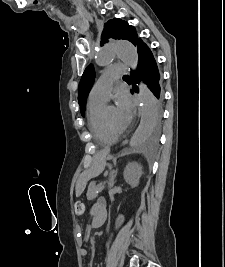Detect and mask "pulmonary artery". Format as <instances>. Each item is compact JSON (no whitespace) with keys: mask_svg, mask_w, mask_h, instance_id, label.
I'll return each instance as SVG.
<instances>
[{"mask_svg":"<svg viewBox=\"0 0 225 267\" xmlns=\"http://www.w3.org/2000/svg\"><path fill=\"white\" fill-rule=\"evenodd\" d=\"M126 73L124 64H114L106 69L98 78L93 86L89 99L98 101H107L113 86V83Z\"/></svg>","mask_w":225,"mask_h":267,"instance_id":"obj_1","label":"pulmonary artery"}]
</instances>
